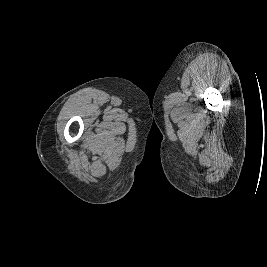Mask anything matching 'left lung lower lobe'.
Listing matches in <instances>:
<instances>
[{
	"instance_id": "1",
	"label": "left lung lower lobe",
	"mask_w": 267,
	"mask_h": 267,
	"mask_svg": "<svg viewBox=\"0 0 267 267\" xmlns=\"http://www.w3.org/2000/svg\"><path fill=\"white\" fill-rule=\"evenodd\" d=\"M152 156H153V158H155V159L159 158V148H156V149L154 150Z\"/></svg>"
}]
</instances>
